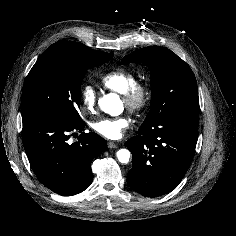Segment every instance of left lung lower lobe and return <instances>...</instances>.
<instances>
[{
    "mask_svg": "<svg viewBox=\"0 0 236 236\" xmlns=\"http://www.w3.org/2000/svg\"><path fill=\"white\" fill-rule=\"evenodd\" d=\"M198 119L174 115L149 127L125 145L132 153L129 186L145 197H157L173 190L183 179L195 153Z\"/></svg>",
    "mask_w": 236,
    "mask_h": 236,
    "instance_id": "left-lung-lower-lobe-1",
    "label": "left lung lower lobe"
}]
</instances>
